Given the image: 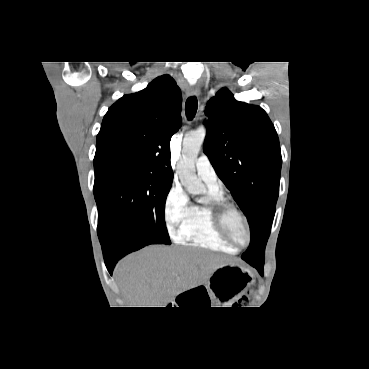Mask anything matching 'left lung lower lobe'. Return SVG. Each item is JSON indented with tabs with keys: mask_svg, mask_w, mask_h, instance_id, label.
Listing matches in <instances>:
<instances>
[{
	"mask_svg": "<svg viewBox=\"0 0 369 369\" xmlns=\"http://www.w3.org/2000/svg\"><path fill=\"white\" fill-rule=\"evenodd\" d=\"M249 264L256 268L261 275H263L264 262H249Z\"/></svg>",
	"mask_w": 369,
	"mask_h": 369,
	"instance_id": "0a47b994",
	"label": "left lung lower lobe"
}]
</instances>
